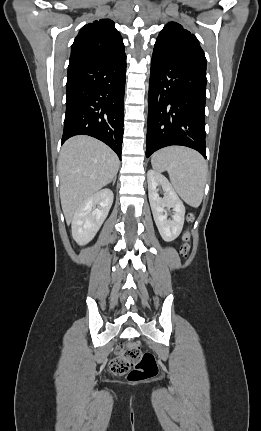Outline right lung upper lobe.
Listing matches in <instances>:
<instances>
[{
  "label": "right lung upper lobe",
  "mask_w": 261,
  "mask_h": 431,
  "mask_svg": "<svg viewBox=\"0 0 261 431\" xmlns=\"http://www.w3.org/2000/svg\"><path fill=\"white\" fill-rule=\"evenodd\" d=\"M114 26L112 20L100 19L82 27L72 45L70 60L124 54L122 37Z\"/></svg>",
  "instance_id": "obj_1"
}]
</instances>
